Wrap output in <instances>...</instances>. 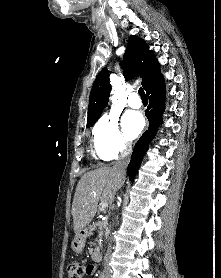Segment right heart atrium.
Instances as JSON below:
<instances>
[{"mask_svg":"<svg viewBox=\"0 0 221 278\" xmlns=\"http://www.w3.org/2000/svg\"><path fill=\"white\" fill-rule=\"evenodd\" d=\"M93 145L96 154L105 161L117 159L131 148L113 114H105L97 121L93 128Z\"/></svg>","mask_w":221,"mask_h":278,"instance_id":"right-heart-atrium-1","label":"right heart atrium"}]
</instances>
